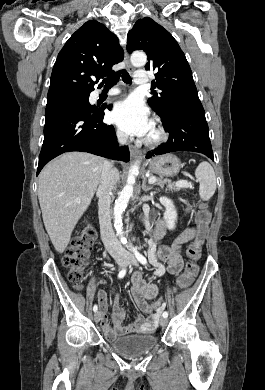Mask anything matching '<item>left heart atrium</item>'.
Listing matches in <instances>:
<instances>
[{
  "instance_id": "left-heart-atrium-1",
  "label": "left heart atrium",
  "mask_w": 265,
  "mask_h": 390,
  "mask_svg": "<svg viewBox=\"0 0 265 390\" xmlns=\"http://www.w3.org/2000/svg\"><path fill=\"white\" fill-rule=\"evenodd\" d=\"M111 119L126 135L146 137L153 129L148 109L141 100L134 97L117 103Z\"/></svg>"
}]
</instances>
